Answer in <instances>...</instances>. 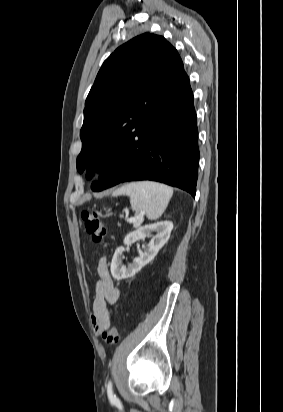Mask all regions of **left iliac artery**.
<instances>
[{
	"label": "left iliac artery",
	"mask_w": 283,
	"mask_h": 412,
	"mask_svg": "<svg viewBox=\"0 0 283 412\" xmlns=\"http://www.w3.org/2000/svg\"><path fill=\"white\" fill-rule=\"evenodd\" d=\"M107 395H108V398H109L110 401H112V402H117L118 401L117 397L113 394L111 381H109L108 385H107Z\"/></svg>",
	"instance_id": "left-iliac-artery-1"
}]
</instances>
